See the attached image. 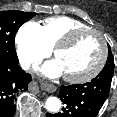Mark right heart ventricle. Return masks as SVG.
<instances>
[{
    "label": "right heart ventricle",
    "instance_id": "obj_1",
    "mask_svg": "<svg viewBox=\"0 0 117 117\" xmlns=\"http://www.w3.org/2000/svg\"><path fill=\"white\" fill-rule=\"evenodd\" d=\"M40 27L45 43L53 48L70 31L89 26L72 17L55 16L45 19Z\"/></svg>",
    "mask_w": 117,
    "mask_h": 117
}]
</instances>
